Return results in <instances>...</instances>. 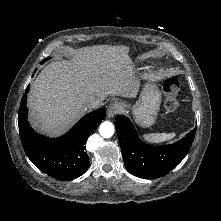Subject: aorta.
<instances>
[{
	"label": "aorta",
	"instance_id": "obj_1",
	"mask_svg": "<svg viewBox=\"0 0 221 221\" xmlns=\"http://www.w3.org/2000/svg\"><path fill=\"white\" fill-rule=\"evenodd\" d=\"M99 133L104 138L112 137L114 134V125L109 121L101 123Z\"/></svg>",
	"mask_w": 221,
	"mask_h": 221
}]
</instances>
